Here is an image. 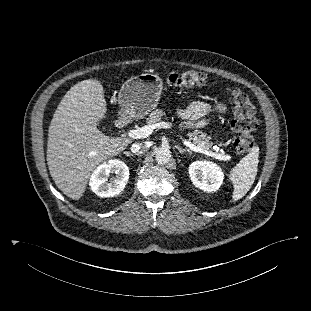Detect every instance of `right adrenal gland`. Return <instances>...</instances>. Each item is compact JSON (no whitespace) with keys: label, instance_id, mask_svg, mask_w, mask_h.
<instances>
[{"label":"right adrenal gland","instance_id":"obj_1","mask_svg":"<svg viewBox=\"0 0 311 311\" xmlns=\"http://www.w3.org/2000/svg\"><path fill=\"white\" fill-rule=\"evenodd\" d=\"M124 154H126L127 156H133V154L132 153H130V152H124Z\"/></svg>","mask_w":311,"mask_h":311}]
</instances>
